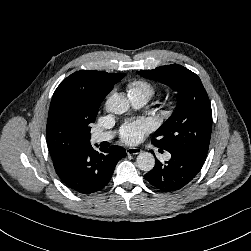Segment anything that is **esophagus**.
I'll return each mask as SVG.
<instances>
[{
    "instance_id": "34e87169",
    "label": "esophagus",
    "mask_w": 251,
    "mask_h": 251,
    "mask_svg": "<svg viewBox=\"0 0 251 251\" xmlns=\"http://www.w3.org/2000/svg\"><path fill=\"white\" fill-rule=\"evenodd\" d=\"M141 152H142V150L137 147H129L126 149V153L128 155H137V154H140Z\"/></svg>"
}]
</instances>
